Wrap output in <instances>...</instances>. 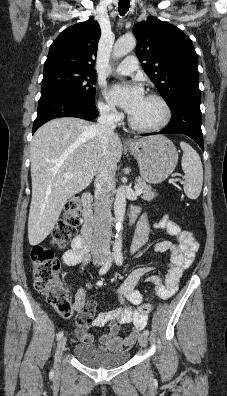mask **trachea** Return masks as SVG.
Here are the masks:
<instances>
[{
  "label": "trachea",
  "instance_id": "3493384b",
  "mask_svg": "<svg viewBox=\"0 0 227 396\" xmlns=\"http://www.w3.org/2000/svg\"><path fill=\"white\" fill-rule=\"evenodd\" d=\"M130 7V0H119V13L121 16H124Z\"/></svg>",
  "mask_w": 227,
  "mask_h": 396
}]
</instances>
